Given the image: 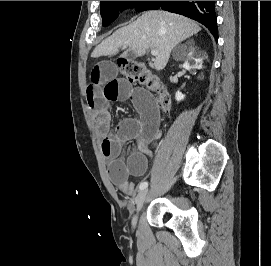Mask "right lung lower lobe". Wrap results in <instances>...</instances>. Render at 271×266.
Listing matches in <instances>:
<instances>
[{"label":"right lung lower lobe","instance_id":"1","mask_svg":"<svg viewBox=\"0 0 271 266\" xmlns=\"http://www.w3.org/2000/svg\"><path fill=\"white\" fill-rule=\"evenodd\" d=\"M167 10L194 19L206 26L218 40L215 1H156L150 9Z\"/></svg>","mask_w":271,"mask_h":266}]
</instances>
